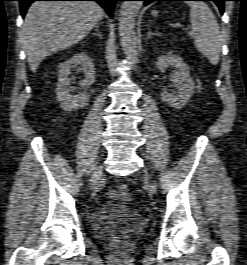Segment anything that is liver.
<instances>
[{
	"instance_id": "obj_1",
	"label": "liver",
	"mask_w": 247,
	"mask_h": 265,
	"mask_svg": "<svg viewBox=\"0 0 247 265\" xmlns=\"http://www.w3.org/2000/svg\"><path fill=\"white\" fill-rule=\"evenodd\" d=\"M104 16L95 2L37 1L25 16L22 38L30 69L84 39Z\"/></svg>"
}]
</instances>
